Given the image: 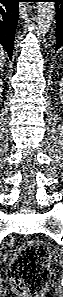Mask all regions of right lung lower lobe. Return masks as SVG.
Here are the masks:
<instances>
[{"mask_svg":"<svg viewBox=\"0 0 63 297\" xmlns=\"http://www.w3.org/2000/svg\"><path fill=\"white\" fill-rule=\"evenodd\" d=\"M0 44L12 59L20 0H0Z\"/></svg>","mask_w":63,"mask_h":297,"instance_id":"obj_1","label":"right lung lower lobe"}]
</instances>
